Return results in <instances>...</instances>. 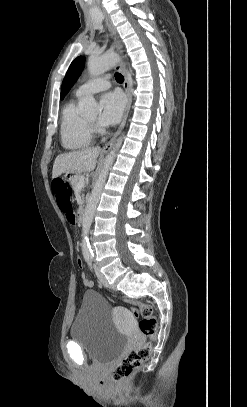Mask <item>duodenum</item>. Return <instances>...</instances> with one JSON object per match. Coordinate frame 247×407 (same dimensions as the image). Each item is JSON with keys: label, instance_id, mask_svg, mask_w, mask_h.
<instances>
[{"label": "duodenum", "instance_id": "410a0bca", "mask_svg": "<svg viewBox=\"0 0 247 407\" xmlns=\"http://www.w3.org/2000/svg\"><path fill=\"white\" fill-rule=\"evenodd\" d=\"M85 215V207H81L78 210V221L81 222Z\"/></svg>", "mask_w": 247, "mask_h": 407}]
</instances>
